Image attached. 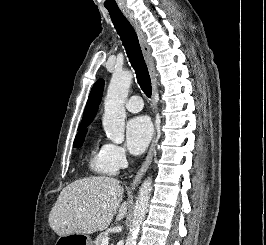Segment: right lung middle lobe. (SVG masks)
I'll list each match as a JSON object with an SVG mask.
<instances>
[{"label":"right lung middle lobe","mask_w":266,"mask_h":245,"mask_svg":"<svg viewBox=\"0 0 266 245\" xmlns=\"http://www.w3.org/2000/svg\"><path fill=\"white\" fill-rule=\"evenodd\" d=\"M88 125L89 124L79 126L78 128L79 132L77 133L75 140H74V145H73L74 148H80L82 146L84 139H85V135L87 133L86 127Z\"/></svg>","instance_id":"right-lung-middle-lobe-1"}]
</instances>
